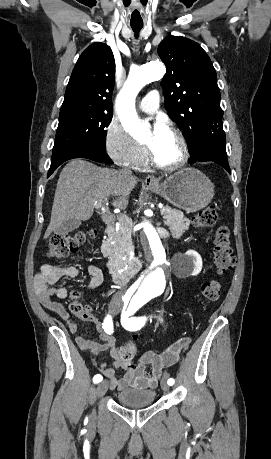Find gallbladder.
Instances as JSON below:
<instances>
[{
  "label": "gallbladder",
  "instance_id": "obj_1",
  "mask_svg": "<svg viewBox=\"0 0 271 459\" xmlns=\"http://www.w3.org/2000/svg\"><path fill=\"white\" fill-rule=\"evenodd\" d=\"M81 226V220H76V218H72V220H67L58 228L53 229L54 233L57 235H65V233H69V231H73V229L79 228Z\"/></svg>",
  "mask_w": 271,
  "mask_h": 459
}]
</instances>
